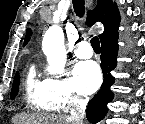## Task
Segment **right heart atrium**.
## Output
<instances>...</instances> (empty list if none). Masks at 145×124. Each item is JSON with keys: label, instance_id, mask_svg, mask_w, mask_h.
<instances>
[{"label": "right heart atrium", "instance_id": "right-heart-atrium-1", "mask_svg": "<svg viewBox=\"0 0 145 124\" xmlns=\"http://www.w3.org/2000/svg\"><path fill=\"white\" fill-rule=\"evenodd\" d=\"M49 98L57 110L70 111L86 102V95L70 76L48 78L45 80Z\"/></svg>", "mask_w": 145, "mask_h": 124}]
</instances>
